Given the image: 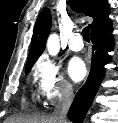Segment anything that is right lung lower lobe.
Instances as JSON below:
<instances>
[{
  "mask_svg": "<svg viewBox=\"0 0 118 123\" xmlns=\"http://www.w3.org/2000/svg\"><path fill=\"white\" fill-rule=\"evenodd\" d=\"M111 31L112 27L91 37L93 43V55L90 74L84 86L76 94L67 114L68 118L73 123L83 122L104 77V65L110 60L108 51L113 48V37L110 34Z\"/></svg>",
  "mask_w": 118,
  "mask_h": 123,
  "instance_id": "98d812e1",
  "label": "right lung lower lobe"
}]
</instances>
